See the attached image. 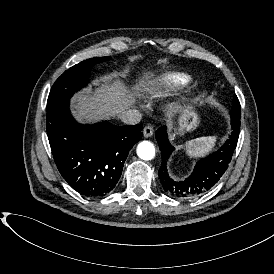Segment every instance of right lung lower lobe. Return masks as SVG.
Returning <instances> with one entry per match:
<instances>
[{
  "mask_svg": "<svg viewBox=\"0 0 274 274\" xmlns=\"http://www.w3.org/2000/svg\"><path fill=\"white\" fill-rule=\"evenodd\" d=\"M47 135L55 164L69 185L85 197L111 193L134 143L142 137L141 124L115 126L103 121L77 123L69 101L47 110Z\"/></svg>",
  "mask_w": 274,
  "mask_h": 274,
  "instance_id": "obj_1",
  "label": "right lung lower lobe"
}]
</instances>
